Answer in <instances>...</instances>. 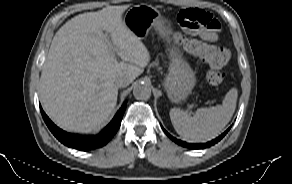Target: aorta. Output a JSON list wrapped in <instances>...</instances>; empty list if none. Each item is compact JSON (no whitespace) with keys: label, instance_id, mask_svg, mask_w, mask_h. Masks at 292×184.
Wrapping results in <instances>:
<instances>
[{"label":"aorta","instance_id":"obj_1","mask_svg":"<svg viewBox=\"0 0 292 184\" xmlns=\"http://www.w3.org/2000/svg\"><path fill=\"white\" fill-rule=\"evenodd\" d=\"M133 95L137 100H148L151 96V87L146 83L139 82L133 88Z\"/></svg>","mask_w":292,"mask_h":184}]
</instances>
